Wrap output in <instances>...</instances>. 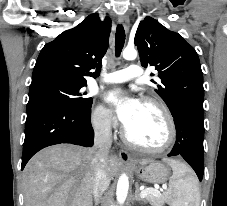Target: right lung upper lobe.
<instances>
[{
	"mask_svg": "<svg viewBox=\"0 0 227 206\" xmlns=\"http://www.w3.org/2000/svg\"><path fill=\"white\" fill-rule=\"evenodd\" d=\"M110 32L111 19L106 17L101 21L97 13L64 31L41 50L33 69L32 83L55 79L86 85V76H97L90 70L101 68Z\"/></svg>",
	"mask_w": 227,
	"mask_h": 206,
	"instance_id": "right-lung-upper-lobe-1",
	"label": "right lung upper lobe"
}]
</instances>
